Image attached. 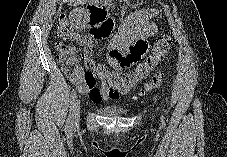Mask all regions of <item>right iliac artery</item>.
Here are the masks:
<instances>
[{"label":"right iliac artery","instance_id":"obj_1","mask_svg":"<svg viewBox=\"0 0 227 157\" xmlns=\"http://www.w3.org/2000/svg\"><path fill=\"white\" fill-rule=\"evenodd\" d=\"M75 99H76V91L73 89L72 92H71V95H70V114H69V117H68V121H67V126L68 127H71V124H72V116H73V104L75 102Z\"/></svg>","mask_w":227,"mask_h":157}]
</instances>
